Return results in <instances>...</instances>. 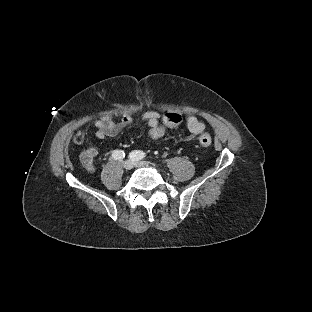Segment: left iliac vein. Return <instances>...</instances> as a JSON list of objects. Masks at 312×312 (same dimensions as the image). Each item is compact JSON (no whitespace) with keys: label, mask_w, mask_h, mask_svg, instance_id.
<instances>
[{"label":"left iliac vein","mask_w":312,"mask_h":312,"mask_svg":"<svg viewBox=\"0 0 312 312\" xmlns=\"http://www.w3.org/2000/svg\"><path fill=\"white\" fill-rule=\"evenodd\" d=\"M133 166L135 167H149V163L146 161H138V160H132Z\"/></svg>","instance_id":"left-iliac-vein-1"}]
</instances>
